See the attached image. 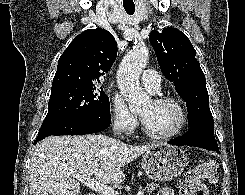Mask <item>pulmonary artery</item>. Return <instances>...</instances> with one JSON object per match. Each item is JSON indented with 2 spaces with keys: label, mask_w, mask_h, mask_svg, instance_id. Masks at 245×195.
Wrapping results in <instances>:
<instances>
[{
  "label": "pulmonary artery",
  "mask_w": 245,
  "mask_h": 195,
  "mask_svg": "<svg viewBox=\"0 0 245 195\" xmlns=\"http://www.w3.org/2000/svg\"><path fill=\"white\" fill-rule=\"evenodd\" d=\"M141 82L152 93H157L160 90L161 78L155 70H144L141 75Z\"/></svg>",
  "instance_id": "obj_1"
}]
</instances>
